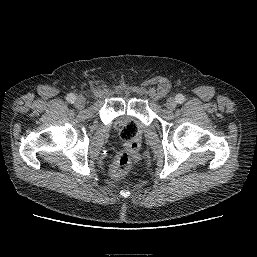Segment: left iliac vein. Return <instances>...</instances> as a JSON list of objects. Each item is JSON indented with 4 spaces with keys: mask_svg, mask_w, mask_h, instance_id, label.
Returning a JSON list of instances; mask_svg holds the SVG:
<instances>
[{
    "mask_svg": "<svg viewBox=\"0 0 257 257\" xmlns=\"http://www.w3.org/2000/svg\"><path fill=\"white\" fill-rule=\"evenodd\" d=\"M177 106V102L174 98H169L167 101H166V107L168 110H174Z\"/></svg>",
    "mask_w": 257,
    "mask_h": 257,
    "instance_id": "4c4485c4",
    "label": "left iliac vein"
}]
</instances>
